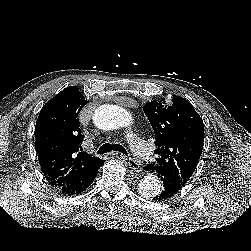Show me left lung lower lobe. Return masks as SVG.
I'll use <instances>...</instances> for the list:
<instances>
[{
	"instance_id": "0a47b994",
	"label": "left lung lower lobe",
	"mask_w": 251,
	"mask_h": 251,
	"mask_svg": "<svg viewBox=\"0 0 251 251\" xmlns=\"http://www.w3.org/2000/svg\"><path fill=\"white\" fill-rule=\"evenodd\" d=\"M144 169L152 173H157L163 182L161 191L153 198L154 201H165L174 196L183 187V185L167 171H162L152 164L145 166Z\"/></svg>"
}]
</instances>
